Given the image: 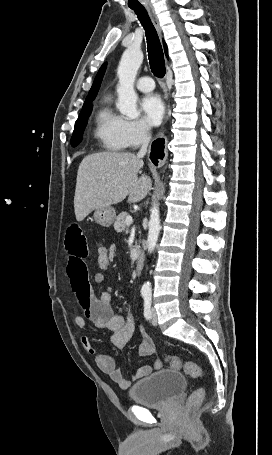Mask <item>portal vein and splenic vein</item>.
Segmentation results:
<instances>
[{"label": "portal vein and splenic vein", "instance_id": "1", "mask_svg": "<svg viewBox=\"0 0 272 455\" xmlns=\"http://www.w3.org/2000/svg\"><path fill=\"white\" fill-rule=\"evenodd\" d=\"M125 224H126L127 226H130V225L132 224V217H131V216H128V217L126 218Z\"/></svg>", "mask_w": 272, "mask_h": 455}]
</instances>
